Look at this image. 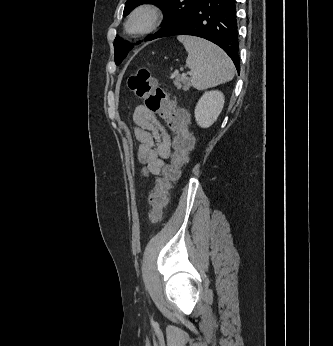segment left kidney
<instances>
[{
  "mask_svg": "<svg viewBox=\"0 0 333 346\" xmlns=\"http://www.w3.org/2000/svg\"><path fill=\"white\" fill-rule=\"evenodd\" d=\"M224 106V95L220 91H207L195 107V119L202 128L210 127L220 115Z\"/></svg>",
  "mask_w": 333,
  "mask_h": 346,
  "instance_id": "left-kidney-1",
  "label": "left kidney"
}]
</instances>
